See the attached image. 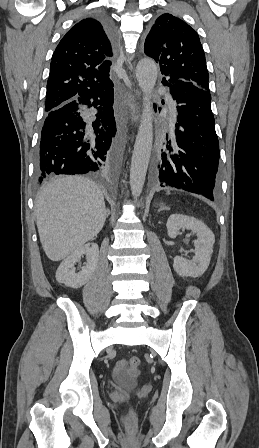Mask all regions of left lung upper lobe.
<instances>
[{
    "instance_id": "1",
    "label": "left lung upper lobe",
    "mask_w": 259,
    "mask_h": 448,
    "mask_svg": "<svg viewBox=\"0 0 259 448\" xmlns=\"http://www.w3.org/2000/svg\"><path fill=\"white\" fill-rule=\"evenodd\" d=\"M144 52L160 64L161 73L170 81H190L209 90V74L200 38L178 17L164 13L156 19L147 35Z\"/></svg>"
}]
</instances>
